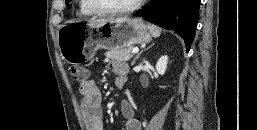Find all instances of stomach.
I'll return each instance as SVG.
<instances>
[{"mask_svg": "<svg viewBox=\"0 0 257 130\" xmlns=\"http://www.w3.org/2000/svg\"><path fill=\"white\" fill-rule=\"evenodd\" d=\"M151 33L141 19L109 18L101 23L67 21L58 30L62 58L70 64L87 62L98 49L113 50L147 43Z\"/></svg>", "mask_w": 257, "mask_h": 130, "instance_id": "stomach-1", "label": "stomach"}]
</instances>
